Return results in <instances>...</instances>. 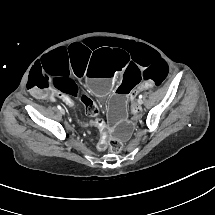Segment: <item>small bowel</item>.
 <instances>
[{
  "label": "small bowel",
  "mask_w": 215,
  "mask_h": 215,
  "mask_svg": "<svg viewBox=\"0 0 215 215\" xmlns=\"http://www.w3.org/2000/svg\"><path fill=\"white\" fill-rule=\"evenodd\" d=\"M58 97H59L62 101H64L65 103L68 101V96L65 95V94L58 93ZM132 112L135 113L134 110H133V107H132ZM93 125H95V122L93 123Z\"/></svg>",
  "instance_id": "1"
}]
</instances>
